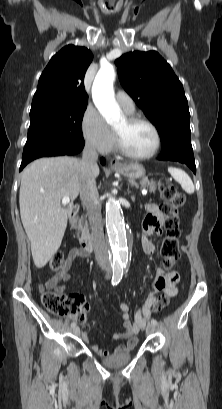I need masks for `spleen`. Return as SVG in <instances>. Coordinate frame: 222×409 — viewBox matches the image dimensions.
<instances>
[{"label": "spleen", "instance_id": "3e777b00", "mask_svg": "<svg viewBox=\"0 0 222 409\" xmlns=\"http://www.w3.org/2000/svg\"><path fill=\"white\" fill-rule=\"evenodd\" d=\"M168 172L177 182L181 184V187L186 193H194L195 188L193 182L186 172L174 167H169Z\"/></svg>", "mask_w": 222, "mask_h": 409}]
</instances>
